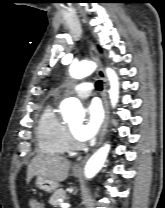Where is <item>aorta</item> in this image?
Listing matches in <instances>:
<instances>
[{"label": "aorta", "mask_w": 165, "mask_h": 208, "mask_svg": "<svg viewBox=\"0 0 165 208\" xmlns=\"http://www.w3.org/2000/svg\"><path fill=\"white\" fill-rule=\"evenodd\" d=\"M96 69V64L92 61H82L80 63L72 64L70 67V75L75 79H82ZM107 77L110 82L109 97L113 107L118 102L119 97V82L115 71L111 68L106 69ZM62 115L65 119L84 117V110L80 101L74 97L67 98L62 101L60 105ZM110 151V145L106 143L104 146L99 148L87 161L84 174L87 179L93 178L102 168L108 153Z\"/></svg>", "instance_id": "1"}]
</instances>
